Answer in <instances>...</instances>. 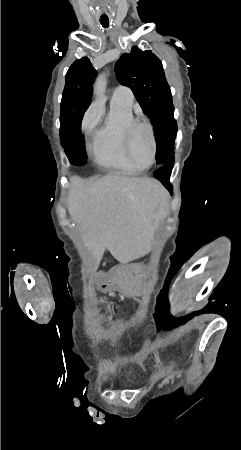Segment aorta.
<instances>
[{"label":"aorta","instance_id":"aorta-1","mask_svg":"<svg viewBox=\"0 0 241 450\" xmlns=\"http://www.w3.org/2000/svg\"><path fill=\"white\" fill-rule=\"evenodd\" d=\"M105 87H106V75L101 74L97 78L96 84H95V94L98 98L103 96V94L105 92Z\"/></svg>","mask_w":241,"mask_h":450}]
</instances>
